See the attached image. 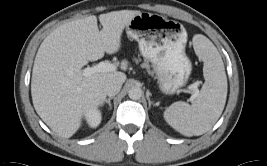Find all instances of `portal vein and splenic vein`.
<instances>
[{
  "instance_id": "18ae733b",
  "label": "portal vein and splenic vein",
  "mask_w": 267,
  "mask_h": 166,
  "mask_svg": "<svg viewBox=\"0 0 267 166\" xmlns=\"http://www.w3.org/2000/svg\"><path fill=\"white\" fill-rule=\"evenodd\" d=\"M117 66L113 63L102 61L93 67H86L82 70L84 76H90L96 73H105L116 71ZM190 90L194 91V94L191 96V100H194L198 95V88L196 84H193L189 87Z\"/></svg>"
}]
</instances>
